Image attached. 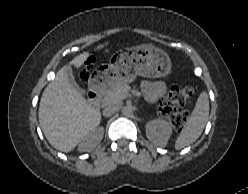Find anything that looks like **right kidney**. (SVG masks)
I'll return each mask as SVG.
<instances>
[{"mask_svg": "<svg viewBox=\"0 0 248 194\" xmlns=\"http://www.w3.org/2000/svg\"><path fill=\"white\" fill-rule=\"evenodd\" d=\"M103 135L104 129L102 127L89 132L81 139L78 150L80 152L90 151L102 140Z\"/></svg>", "mask_w": 248, "mask_h": 194, "instance_id": "obj_1", "label": "right kidney"}]
</instances>
